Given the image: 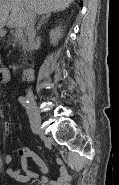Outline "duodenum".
<instances>
[{
  "label": "duodenum",
  "instance_id": "410a0bca",
  "mask_svg": "<svg viewBox=\"0 0 119 185\" xmlns=\"http://www.w3.org/2000/svg\"><path fill=\"white\" fill-rule=\"evenodd\" d=\"M34 75V70L32 68H25L21 71V76L23 80H30Z\"/></svg>",
  "mask_w": 119,
  "mask_h": 185
}]
</instances>
